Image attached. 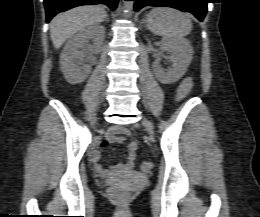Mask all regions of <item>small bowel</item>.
Instances as JSON below:
<instances>
[{"instance_id":"1","label":"small bowel","mask_w":260,"mask_h":217,"mask_svg":"<svg viewBox=\"0 0 260 217\" xmlns=\"http://www.w3.org/2000/svg\"><path fill=\"white\" fill-rule=\"evenodd\" d=\"M192 81L190 77L184 78L179 85V96H185L191 89ZM130 132L125 127H115L111 133L102 140L98 148L91 154V162L93 163L94 170L98 176L102 178H111L114 175L127 174L134 169V160L137 150V142L132 140L128 146V153L126 159L122 162L116 163L111 170L103 168L100 164L101 150L110 143H121L126 136H129Z\"/></svg>"}]
</instances>
